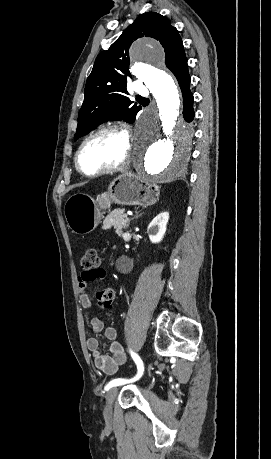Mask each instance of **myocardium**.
Masks as SVG:
<instances>
[{
  "label": "myocardium",
  "instance_id": "obj_1",
  "mask_svg": "<svg viewBox=\"0 0 271 459\" xmlns=\"http://www.w3.org/2000/svg\"><path fill=\"white\" fill-rule=\"evenodd\" d=\"M114 132V133H117L119 135H121L126 141H127V150L125 152V154L123 155V157L115 162V163H112V164H109V165H105V166H102L94 171H91V172H88V171H85L81 165H80V154H81V151L84 147V145L86 144V142L91 139L92 137H94L95 135H98L100 133H103V132ZM131 154H132V143L130 141V138H129V135L126 131V128L117 123V122H112V123H107L105 125H102L96 129H94L93 131H91L90 133H88L84 138L83 140L80 142L76 152H75V155H74V164H75V167L77 169V171L82 174L83 176L85 177H95V176H98L100 174H104V173H107V172H112V171H116V170H119L123 167H125L129 160H130V157H131Z\"/></svg>",
  "mask_w": 271,
  "mask_h": 459
}]
</instances>
